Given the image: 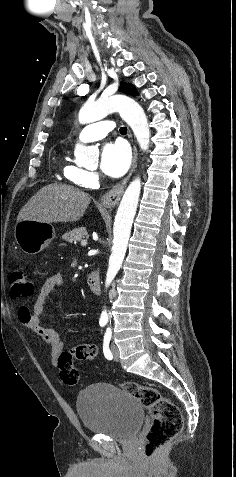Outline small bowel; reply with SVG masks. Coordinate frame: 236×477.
Returning <instances> with one entry per match:
<instances>
[{
  "mask_svg": "<svg viewBox=\"0 0 236 477\" xmlns=\"http://www.w3.org/2000/svg\"><path fill=\"white\" fill-rule=\"evenodd\" d=\"M63 283L61 275L56 274L49 277L41 287L35 301L31 307L24 308L19 311V318L27 328L34 331L37 335L42 337L45 343L50 348V362L53 366H58V358L64 349V345L58 333L51 327L44 326L41 323L42 313L44 308L53 297L56 289ZM93 357L97 355V347L90 344Z\"/></svg>",
  "mask_w": 236,
  "mask_h": 477,
  "instance_id": "small-bowel-1",
  "label": "small bowel"
}]
</instances>
